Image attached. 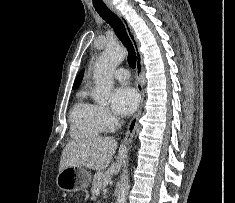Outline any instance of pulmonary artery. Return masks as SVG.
Returning <instances> with one entry per match:
<instances>
[{"instance_id": "pulmonary-artery-1", "label": "pulmonary artery", "mask_w": 235, "mask_h": 203, "mask_svg": "<svg viewBox=\"0 0 235 203\" xmlns=\"http://www.w3.org/2000/svg\"><path fill=\"white\" fill-rule=\"evenodd\" d=\"M113 76L116 80L120 82H125L129 79L130 73L126 68H118L113 73Z\"/></svg>"}]
</instances>
